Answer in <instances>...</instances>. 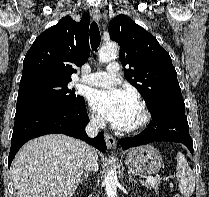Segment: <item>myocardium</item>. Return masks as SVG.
Wrapping results in <instances>:
<instances>
[{"label": "myocardium", "mask_w": 209, "mask_h": 197, "mask_svg": "<svg viewBox=\"0 0 209 197\" xmlns=\"http://www.w3.org/2000/svg\"><path fill=\"white\" fill-rule=\"evenodd\" d=\"M138 108L140 111V117L138 122L125 129L126 132L128 133H136L144 129L150 122V113L146 107V104L143 101L138 102Z\"/></svg>", "instance_id": "obj_1"}]
</instances>
